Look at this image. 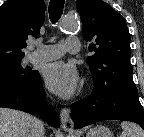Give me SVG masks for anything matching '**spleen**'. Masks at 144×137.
<instances>
[{"instance_id": "3e777b00", "label": "spleen", "mask_w": 144, "mask_h": 137, "mask_svg": "<svg viewBox=\"0 0 144 137\" xmlns=\"http://www.w3.org/2000/svg\"><path fill=\"white\" fill-rule=\"evenodd\" d=\"M121 127L123 131L120 137H144V131L135 123L123 121Z\"/></svg>"}]
</instances>
